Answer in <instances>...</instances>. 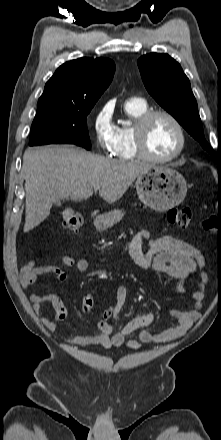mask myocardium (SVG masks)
Instances as JSON below:
<instances>
[{"label":"myocardium","instance_id":"1","mask_svg":"<svg viewBox=\"0 0 221 440\" xmlns=\"http://www.w3.org/2000/svg\"><path fill=\"white\" fill-rule=\"evenodd\" d=\"M163 116L169 119L175 126L178 136L179 144L177 149L167 157L154 156L148 149L146 144V131L149 123L156 117ZM134 144L139 157L156 163H167L175 160L184 151L186 146L185 130L180 121L169 111L163 109L150 110L141 115L134 124Z\"/></svg>","mask_w":221,"mask_h":440}]
</instances>
